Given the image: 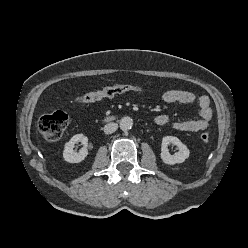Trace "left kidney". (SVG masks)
<instances>
[{
    "instance_id": "1",
    "label": "left kidney",
    "mask_w": 248,
    "mask_h": 248,
    "mask_svg": "<svg viewBox=\"0 0 248 248\" xmlns=\"http://www.w3.org/2000/svg\"><path fill=\"white\" fill-rule=\"evenodd\" d=\"M176 145L179 151L173 155L169 153L168 145ZM189 149L185 144H183L177 137L165 136L162 139L161 144V159L165 164L174 165L183 163L189 157Z\"/></svg>"
}]
</instances>
